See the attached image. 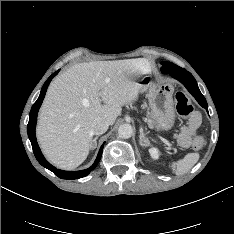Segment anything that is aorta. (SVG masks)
Here are the masks:
<instances>
[{"label":"aorta","mask_w":234,"mask_h":234,"mask_svg":"<svg viewBox=\"0 0 234 234\" xmlns=\"http://www.w3.org/2000/svg\"><path fill=\"white\" fill-rule=\"evenodd\" d=\"M133 134V128L130 124L125 123L119 126L118 128V135L121 138L128 139Z\"/></svg>","instance_id":"obj_1"}]
</instances>
